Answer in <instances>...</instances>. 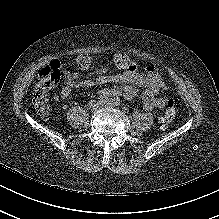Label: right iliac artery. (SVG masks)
<instances>
[{
	"label": "right iliac artery",
	"instance_id": "1",
	"mask_svg": "<svg viewBox=\"0 0 219 219\" xmlns=\"http://www.w3.org/2000/svg\"><path fill=\"white\" fill-rule=\"evenodd\" d=\"M107 101H109V99H108L107 96H102V95H101V96H99L98 99H97V103H100V104L105 103V102H107ZM95 103H96V101H91L89 104H90V106L92 107Z\"/></svg>",
	"mask_w": 219,
	"mask_h": 219
}]
</instances>
